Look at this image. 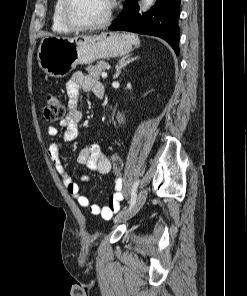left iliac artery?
Here are the masks:
<instances>
[{
	"label": "left iliac artery",
	"instance_id": "1",
	"mask_svg": "<svg viewBox=\"0 0 247 296\" xmlns=\"http://www.w3.org/2000/svg\"><path fill=\"white\" fill-rule=\"evenodd\" d=\"M138 184H139V180L136 181L133 185V188H132V191H131V200H130V206H129V209L135 204L136 202V192H137V187H138Z\"/></svg>",
	"mask_w": 247,
	"mask_h": 296
}]
</instances>
